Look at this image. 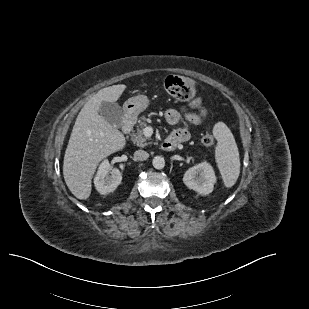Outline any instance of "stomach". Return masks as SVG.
<instances>
[{
  "label": "stomach",
  "instance_id": "1",
  "mask_svg": "<svg viewBox=\"0 0 309 309\" xmlns=\"http://www.w3.org/2000/svg\"><path fill=\"white\" fill-rule=\"evenodd\" d=\"M149 99L146 95H138L129 98L123 105L125 115L128 118H136L149 105Z\"/></svg>",
  "mask_w": 309,
  "mask_h": 309
}]
</instances>
